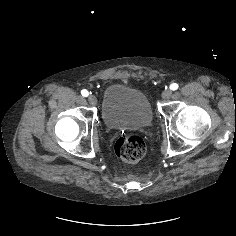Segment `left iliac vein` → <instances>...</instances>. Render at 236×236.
<instances>
[{
  "instance_id": "4c4485c4",
  "label": "left iliac vein",
  "mask_w": 236,
  "mask_h": 236,
  "mask_svg": "<svg viewBox=\"0 0 236 236\" xmlns=\"http://www.w3.org/2000/svg\"><path fill=\"white\" fill-rule=\"evenodd\" d=\"M171 95H172V91L170 89H166L162 93V98L163 99H168V98L171 97Z\"/></svg>"
}]
</instances>
